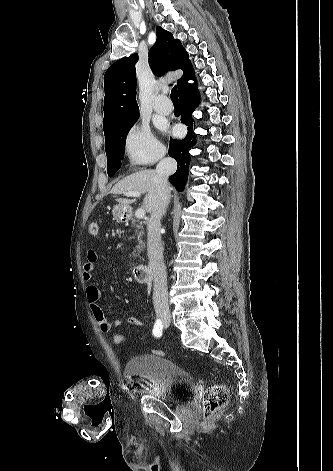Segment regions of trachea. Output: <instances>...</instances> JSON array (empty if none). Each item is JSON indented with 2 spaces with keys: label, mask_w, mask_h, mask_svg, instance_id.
I'll return each instance as SVG.
<instances>
[{
  "label": "trachea",
  "mask_w": 333,
  "mask_h": 471,
  "mask_svg": "<svg viewBox=\"0 0 333 471\" xmlns=\"http://www.w3.org/2000/svg\"><path fill=\"white\" fill-rule=\"evenodd\" d=\"M170 97H171V100H172L173 103H174V102H176V103L179 102V100H178L177 86H174V87H173V89H172V91H171Z\"/></svg>",
  "instance_id": "3493384b"
}]
</instances>
